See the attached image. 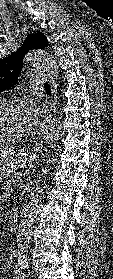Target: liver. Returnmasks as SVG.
<instances>
[{
	"label": "liver",
	"instance_id": "liver-1",
	"mask_svg": "<svg viewBox=\"0 0 113 279\" xmlns=\"http://www.w3.org/2000/svg\"><path fill=\"white\" fill-rule=\"evenodd\" d=\"M14 153H15L14 150H10V149L1 150V154L3 156H12V155H14Z\"/></svg>",
	"mask_w": 113,
	"mask_h": 279
}]
</instances>
